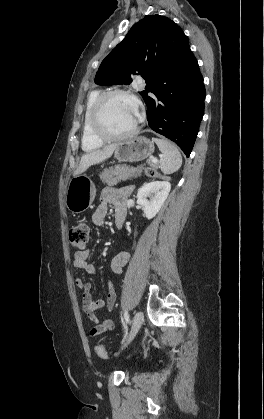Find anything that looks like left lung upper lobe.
<instances>
[{"label":"left lung upper lobe","mask_w":264,"mask_h":419,"mask_svg":"<svg viewBox=\"0 0 264 419\" xmlns=\"http://www.w3.org/2000/svg\"><path fill=\"white\" fill-rule=\"evenodd\" d=\"M183 31L176 23L161 15H149L134 24L126 37L102 61L96 76L98 85L130 84L141 75L147 85L140 92L145 100L154 82L170 65L169 44Z\"/></svg>","instance_id":"obj_1"}]
</instances>
